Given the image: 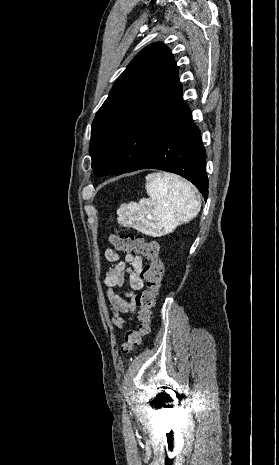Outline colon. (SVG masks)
Returning a JSON list of instances; mask_svg holds the SVG:
<instances>
[{"label":"colon","instance_id":"obj_1","mask_svg":"<svg viewBox=\"0 0 279 465\" xmlns=\"http://www.w3.org/2000/svg\"><path fill=\"white\" fill-rule=\"evenodd\" d=\"M109 241L118 250L142 255L148 261L141 273L147 288L135 296V303L139 309V325L137 329L127 330L123 337L122 352L128 354L150 333L152 308L160 289L164 265L160 258L159 245L154 241H146L141 235L116 231L110 234Z\"/></svg>","mask_w":279,"mask_h":465}]
</instances>
